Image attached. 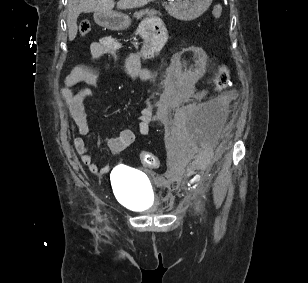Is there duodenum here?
Masks as SVG:
<instances>
[{"label":"duodenum","instance_id":"duodenum-1","mask_svg":"<svg viewBox=\"0 0 308 283\" xmlns=\"http://www.w3.org/2000/svg\"><path fill=\"white\" fill-rule=\"evenodd\" d=\"M164 40L163 36H160V38H156L152 43H151V48H156L162 41Z\"/></svg>","mask_w":308,"mask_h":283}]
</instances>
